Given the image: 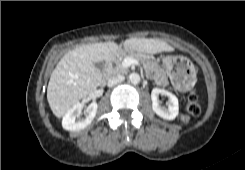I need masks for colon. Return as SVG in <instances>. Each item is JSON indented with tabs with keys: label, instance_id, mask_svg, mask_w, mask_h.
<instances>
[{
	"label": "colon",
	"instance_id": "colon-1",
	"mask_svg": "<svg viewBox=\"0 0 245 170\" xmlns=\"http://www.w3.org/2000/svg\"><path fill=\"white\" fill-rule=\"evenodd\" d=\"M192 69V64L185 58H177L173 67V82L175 85H182L189 77ZM201 112V107L197 96L190 91L187 98L186 111L179 117L180 122H187L190 117L198 116Z\"/></svg>",
	"mask_w": 245,
	"mask_h": 170
}]
</instances>
